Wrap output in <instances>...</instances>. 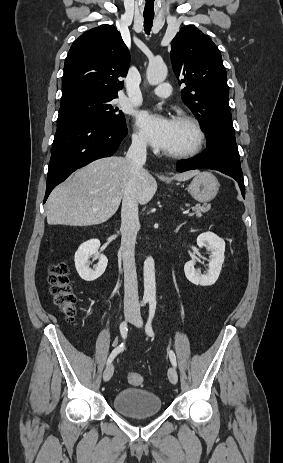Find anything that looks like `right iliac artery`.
Returning <instances> with one entry per match:
<instances>
[{
	"instance_id": "right-iliac-artery-1",
	"label": "right iliac artery",
	"mask_w": 283,
	"mask_h": 463,
	"mask_svg": "<svg viewBox=\"0 0 283 463\" xmlns=\"http://www.w3.org/2000/svg\"><path fill=\"white\" fill-rule=\"evenodd\" d=\"M147 302H148V300H147V299H144V300L142 301V304H141V305L144 306V305H146ZM127 331H128L127 322H126V321H123V322L120 324V333H121V336H122L124 339L127 337ZM123 349H124V344H123V343H122L120 346H118L117 348H115V349L111 352V354H110V356H109V358H108V360H107V364H110V363L113 361V359H114Z\"/></svg>"
}]
</instances>
